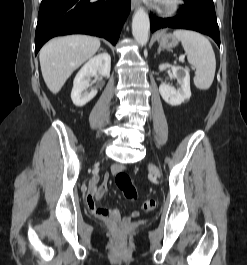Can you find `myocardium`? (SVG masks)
I'll return each mask as SVG.
<instances>
[{
    "instance_id": "1",
    "label": "myocardium",
    "mask_w": 247,
    "mask_h": 265,
    "mask_svg": "<svg viewBox=\"0 0 247 265\" xmlns=\"http://www.w3.org/2000/svg\"><path fill=\"white\" fill-rule=\"evenodd\" d=\"M184 6V0H160L159 8L164 15L177 14Z\"/></svg>"
}]
</instances>
